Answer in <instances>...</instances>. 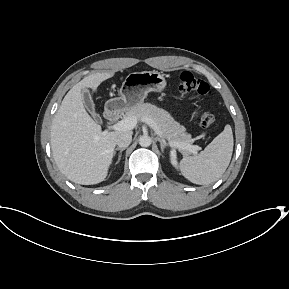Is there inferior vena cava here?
<instances>
[{
  "mask_svg": "<svg viewBox=\"0 0 289 289\" xmlns=\"http://www.w3.org/2000/svg\"><path fill=\"white\" fill-rule=\"evenodd\" d=\"M132 141V135L131 133L128 132H123L121 133L117 140H116V144L120 147V148H126L129 146V144Z\"/></svg>",
  "mask_w": 289,
  "mask_h": 289,
  "instance_id": "obj_1",
  "label": "inferior vena cava"
}]
</instances>
